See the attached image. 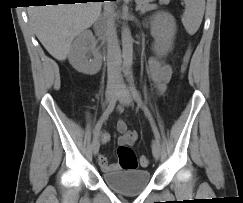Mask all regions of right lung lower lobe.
<instances>
[{
	"instance_id": "98d812e1",
	"label": "right lung lower lobe",
	"mask_w": 243,
	"mask_h": 203,
	"mask_svg": "<svg viewBox=\"0 0 243 203\" xmlns=\"http://www.w3.org/2000/svg\"><path fill=\"white\" fill-rule=\"evenodd\" d=\"M67 1V0H66ZM99 1H104V0H99ZM111 1H116V0H111ZM66 3H72V2H66ZM40 6V5H39Z\"/></svg>"
}]
</instances>
